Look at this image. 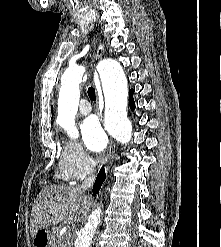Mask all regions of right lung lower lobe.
Masks as SVG:
<instances>
[{"instance_id":"obj_1","label":"right lung lower lobe","mask_w":221,"mask_h":247,"mask_svg":"<svg viewBox=\"0 0 221 247\" xmlns=\"http://www.w3.org/2000/svg\"><path fill=\"white\" fill-rule=\"evenodd\" d=\"M105 171L104 169L102 168L96 178V181H95V184H94V187H93V194L96 195L98 194L100 188H101V185L103 183V181L105 180Z\"/></svg>"}]
</instances>
